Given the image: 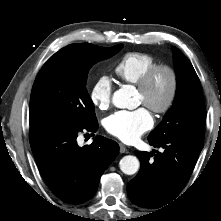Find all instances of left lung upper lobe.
<instances>
[{"label": "left lung upper lobe", "mask_w": 221, "mask_h": 221, "mask_svg": "<svg viewBox=\"0 0 221 221\" xmlns=\"http://www.w3.org/2000/svg\"><path fill=\"white\" fill-rule=\"evenodd\" d=\"M177 92L173 106L162 122L149 134L148 140L159 142L168 138H187L203 142L206 110L200 80L189 60L176 47Z\"/></svg>", "instance_id": "1"}]
</instances>
